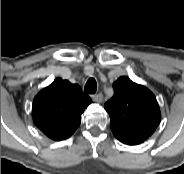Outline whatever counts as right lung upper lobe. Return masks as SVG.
I'll return each instance as SVG.
<instances>
[{
	"instance_id": "right-lung-upper-lobe-1",
	"label": "right lung upper lobe",
	"mask_w": 184,
	"mask_h": 174,
	"mask_svg": "<svg viewBox=\"0 0 184 174\" xmlns=\"http://www.w3.org/2000/svg\"><path fill=\"white\" fill-rule=\"evenodd\" d=\"M91 102L79 85L56 78L34 98V123L49 138L64 140L78 128L81 114Z\"/></svg>"
}]
</instances>
